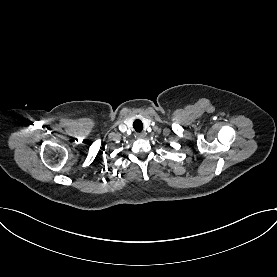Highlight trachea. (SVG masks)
Instances as JSON below:
<instances>
[{"instance_id":"obj_1","label":"trachea","mask_w":277,"mask_h":277,"mask_svg":"<svg viewBox=\"0 0 277 277\" xmlns=\"http://www.w3.org/2000/svg\"><path fill=\"white\" fill-rule=\"evenodd\" d=\"M133 128L135 129L136 132H141L143 130V123L141 120L136 119L133 122Z\"/></svg>"}]
</instances>
